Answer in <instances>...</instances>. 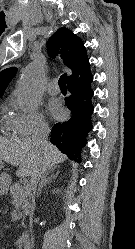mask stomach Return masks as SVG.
<instances>
[{"label": "stomach", "mask_w": 135, "mask_h": 249, "mask_svg": "<svg viewBox=\"0 0 135 249\" xmlns=\"http://www.w3.org/2000/svg\"><path fill=\"white\" fill-rule=\"evenodd\" d=\"M3 167V162L0 160V169ZM0 189H2V184H1V181H0Z\"/></svg>", "instance_id": "1"}]
</instances>
